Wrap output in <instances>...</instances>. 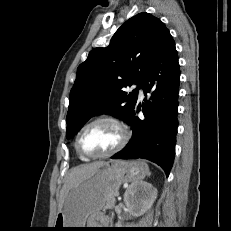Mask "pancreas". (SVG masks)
I'll return each mask as SVG.
<instances>
[{"label":"pancreas","mask_w":231,"mask_h":231,"mask_svg":"<svg viewBox=\"0 0 231 231\" xmlns=\"http://www.w3.org/2000/svg\"><path fill=\"white\" fill-rule=\"evenodd\" d=\"M117 193H114V194H111L108 198V201H107V208H112L115 204V195Z\"/></svg>","instance_id":"1"}]
</instances>
